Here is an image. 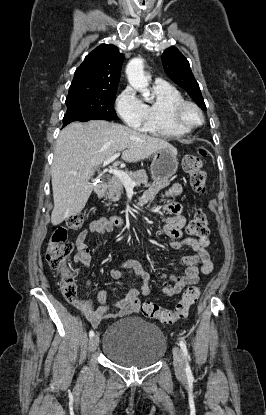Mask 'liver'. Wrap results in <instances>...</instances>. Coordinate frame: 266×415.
I'll return each instance as SVG.
<instances>
[{
  "instance_id": "1",
  "label": "liver",
  "mask_w": 266,
  "mask_h": 415,
  "mask_svg": "<svg viewBox=\"0 0 266 415\" xmlns=\"http://www.w3.org/2000/svg\"><path fill=\"white\" fill-rule=\"evenodd\" d=\"M161 148L177 153L165 140L105 120L66 126L56 141L51 169L54 200L51 223L59 225L83 210L93 191L89 180L97 167L116 152L124 151L122 159L126 162H137Z\"/></svg>"
}]
</instances>
